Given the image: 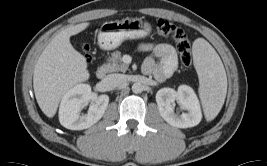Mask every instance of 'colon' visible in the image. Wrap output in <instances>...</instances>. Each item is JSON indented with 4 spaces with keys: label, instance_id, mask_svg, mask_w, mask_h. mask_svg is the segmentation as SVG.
Listing matches in <instances>:
<instances>
[{
    "label": "colon",
    "instance_id": "colon-1",
    "mask_svg": "<svg viewBox=\"0 0 267 166\" xmlns=\"http://www.w3.org/2000/svg\"><path fill=\"white\" fill-rule=\"evenodd\" d=\"M155 30L157 34L161 36H170L175 40L181 63L186 68H191V45L185 31L165 19H158L156 21ZM85 51L88 53L89 49L86 47Z\"/></svg>",
    "mask_w": 267,
    "mask_h": 166
}]
</instances>
